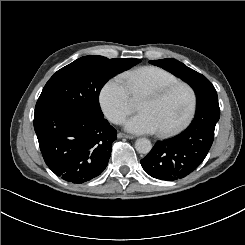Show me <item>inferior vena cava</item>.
<instances>
[{
	"label": "inferior vena cava",
	"instance_id": "1",
	"mask_svg": "<svg viewBox=\"0 0 245 245\" xmlns=\"http://www.w3.org/2000/svg\"><path fill=\"white\" fill-rule=\"evenodd\" d=\"M125 121V117L124 116H119L118 117V123H123Z\"/></svg>",
	"mask_w": 245,
	"mask_h": 245
}]
</instances>
